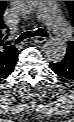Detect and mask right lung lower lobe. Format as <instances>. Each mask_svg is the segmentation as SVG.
<instances>
[{"label": "right lung lower lobe", "instance_id": "obj_1", "mask_svg": "<svg viewBox=\"0 0 74 122\" xmlns=\"http://www.w3.org/2000/svg\"><path fill=\"white\" fill-rule=\"evenodd\" d=\"M15 64H14V66H15ZM14 66L12 67V70H10L6 75H4L3 77H0V81H1V78H6L7 76H9V74H11V72H13Z\"/></svg>", "mask_w": 74, "mask_h": 122}]
</instances>
